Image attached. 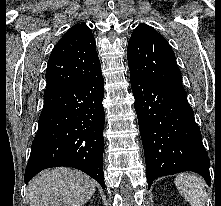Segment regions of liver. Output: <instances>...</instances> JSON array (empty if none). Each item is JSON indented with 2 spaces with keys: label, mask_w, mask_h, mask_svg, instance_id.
I'll return each instance as SVG.
<instances>
[{
  "label": "liver",
  "mask_w": 221,
  "mask_h": 206,
  "mask_svg": "<svg viewBox=\"0 0 221 206\" xmlns=\"http://www.w3.org/2000/svg\"><path fill=\"white\" fill-rule=\"evenodd\" d=\"M96 190V182L78 170L58 167L42 172L28 185L30 206H81Z\"/></svg>",
  "instance_id": "1"
}]
</instances>
